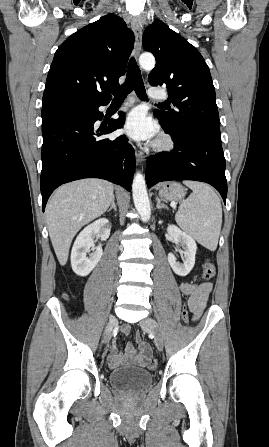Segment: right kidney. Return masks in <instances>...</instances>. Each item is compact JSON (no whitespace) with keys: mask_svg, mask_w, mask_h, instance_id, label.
<instances>
[{"mask_svg":"<svg viewBox=\"0 0 269 447\" xmlns=\"http://www.w3.org/2000/svg\"><path fill=\"white\" fill-rule=\"evenodd\" d=\"M110 229V222L106 218H100L93 224L86 225L77 235L71 251V265L77 275H88L93 267L97 265L103 253L101 245H97L95 251L90 253L89 257H86L87 251H89L91 245H94V237L107 239L110 235Z\"/></svg>","mask_w":269,"mask_h":447,"instance_id":"ca27d5eb","label":"right kidney"}]
</instances>
